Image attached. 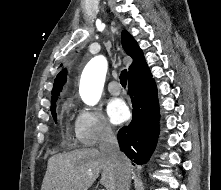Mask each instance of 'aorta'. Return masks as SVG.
<instances>
[{"label":"aorta","instance_id":"762f6f07","mask_svg":"<svg viewBox=\"0 0 221 190\" xmlns=\"http://www.w3.org/2000/svg\"><path fill=\"white\" fill-rule=\"evenodd\" d=\"M108 68L107 60L99 55L90 60L83 70L79 93L87 105L94 106L100 100Z\"/></svg>","mask_w":221,"mask_h":190}]
</instances>
